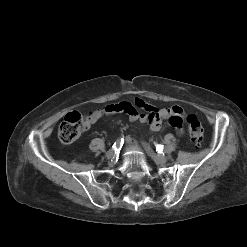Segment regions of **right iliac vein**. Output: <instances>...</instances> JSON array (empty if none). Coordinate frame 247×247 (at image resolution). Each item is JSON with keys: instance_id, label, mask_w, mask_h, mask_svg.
<instances>
[{"instance_id": "right-iliac-vein-1", "label": "right iliac vein", "mask_w": 247, "mask_h": 247, "mask_svg": "<svg viewBox=\"0 0 247 247\" xmlns=\"http://www.w3.org/2000/svg\"><path fill=\"white\" fill-rule=\"evenodd\" d=\"M114 149H110V150H108L107 152H106V158L107 159H110V158H112L113 156H114Z\"/></svg>"}]
</instances>
